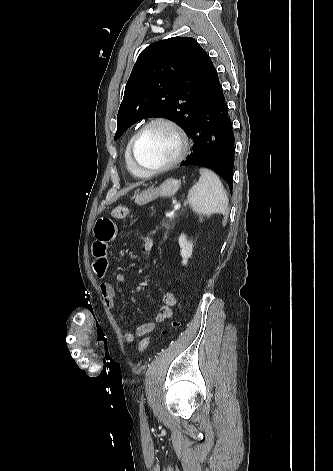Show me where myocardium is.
<instances>
[{
  "label": "myocardium",
  "instance_id": "myocardium-1",
  "mask_svg": "<svg viewBox=\"0 0 333 471\" xmlns=\"http://www.w3.org/2000/svg\"><path fill=\"white\" fill-rule=\"evenodd\" d=\"M164 125L170 128L175 135L177 136L178 142H179V150L177 155L169 162L157 166V167H152V168H147L142 166L136 157V150L138 143L143 136V134L152 126L154 125ZM189 149V139L185 131L182 129V127L177 124L175 121L166 118V117H155L147 121L145 124H143L133 135L131 143H130V149H129V154H130V160L133 164V166L142 174L145 176H150L158 173L165 172L175 166H177L179 163L182 162V160L185 158L187 152Z\"/></svg>",
  "mask_w": 333,
  "mask_h": 471
}]
</instances>
